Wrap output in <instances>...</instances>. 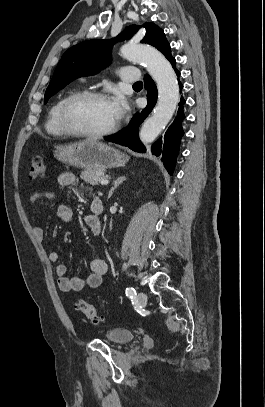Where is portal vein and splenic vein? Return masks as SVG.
Wrapping results in <instances>:
<instances>
[{"mask_svg":"<svg viewBox=\"0 0 265 407\" xmlns=\"http://www.w3.org/2000/svg\"><path fill=\"white\" fill-rule=\"evenodd\" d=\"M100 183H101V185H107V184L109 183V180H107V179H102V180L100 181Z\"/></svg>","mask_w":265,"mask_h":407,"instance_id":"18ae733b","label":"portal vein and splenic vein"}]
</instances>
